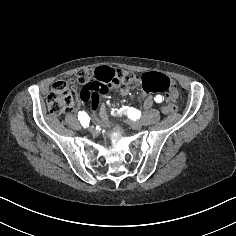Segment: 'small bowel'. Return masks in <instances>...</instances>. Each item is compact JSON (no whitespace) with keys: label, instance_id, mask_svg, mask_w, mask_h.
I'll list each match as a JSON object with an SVG mask.
<instances>
[{"label":"small bowel","instance_id":"obj_1","mask_svg":"<svg viewBox=\"0 0 236 236\" xmlns=\"http://www.w3.org/2000/svg\"><path fill=\"white\" fill-rule=\"evenodd\" d=\"M128 92H129L128 87H123V88L121 89V95H122V96H126V95L128 94ZM155 102H156V101H155V98H153V97H147L146 100H145V105H146V106H151V105H152L153 103H155ZM100 115H101V117H102L104 123H105L107 126H110L111 123H110V121H109L108 112H107V109H106V107H105L104 104H102L101 107H100Z\"/></svg>","mask_w":236,"mask_h":236}]
</instances>
